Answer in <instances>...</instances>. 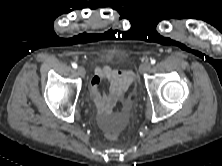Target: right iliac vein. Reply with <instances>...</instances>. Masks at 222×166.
I'll list each match as a JSON object with an SVG mask.
<instances>
[{
	"label": "right iliac vein",
	"instance_id": "1",
	"mask_svg": "<svg viewBox=\"0 0 222 166\" xmlns=\"http://www.w3.org/2000/svg\"><path fill=\"white\" fill-rule=\"evenodd\" d=\"M76 71H77V74L82 77L85 76V74H86V71L83 67H78Z\"/></svg>",
	"mask_w": 222,
	"mask_h": 166
}]
</instances>
